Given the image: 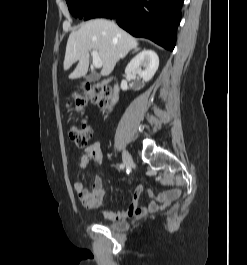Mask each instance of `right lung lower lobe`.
Returning a JSON list of instances; mask_svg holds the SVG:
<instances>
[{"label": "right lung lower lobe", "mask_w": 247, "mask_h": 265, "mask_svg": "<svg viewBox=\"0 0 247 265\" xmlns=\"http://www.w3.org/2000/svg\"><path fill=\"white\" fill-rule=\"evenodd\" d=\"M184 0H102L83 17L116 18L120 27L135 37L148 38L172 51Z\"/></svg>", "instance_id": "1"}]
</instances>
